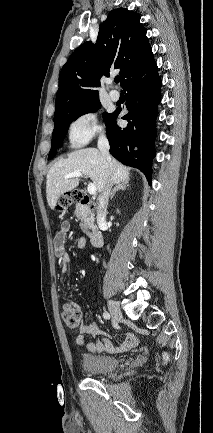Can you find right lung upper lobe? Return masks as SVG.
<instances>
[{
  "label": "right lung upper lobe",
  "mask_w": 213,
  "mask_h": 433,
  "mask_svg": "<svg viewBox=\"0 0 213 433\" xmlns=\"http://www.w3.org/2000/svg\"><path fill=\"white\" fill-rule=\"evenodd\" d=\"M140 15L127 8L112 10L99 28L97 43L85 42L69 57L59 75L54 118L64 110L98 98L102 75L120 69L123 85L152 58Z\"/></svg>",
  "instance_id": "obj_1"
}]
</instances>
